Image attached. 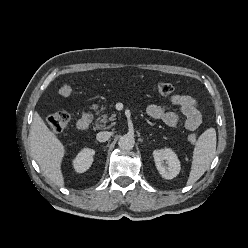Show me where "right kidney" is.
I'll return each mask as SVG.
<instances>
[{
	"label": "right kidney",
	"mask_w": 248,
	"mask_h": 248,
	"mask_svg": "<svg viewBox=\"0 0 248 248\" xmlns=\"http://www.w3.org/2000/svg\"><path fill=\"white\" fill-rule=\"evenodd\" d=\"M95 151L90 148H84L81 150L76 158L73 160V167L76 172L83 173L87 171L92 163H93V156Z\"/></svg>",
	"instance_id": "obj_1"
}]
</instances>
